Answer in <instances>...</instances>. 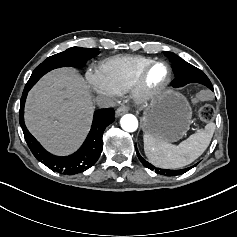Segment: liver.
<instances>
[{
  "label": "liver",
  "instance_id": "liver-1",
  "mask_svg": "<svg viewBox=\"0 0 237 237\" xmlns=\"http://www.w3.org/2000/svg\"><path fill=\"white\" fill-rule=\"evenodd\" d=\"M93 104L84 79L74 70H55L30 91L25 121L50 151L72 152L86 134Z\"/></svg>",
  "mask_w": 237,
  "mask_h": 237
}]
</instances>
